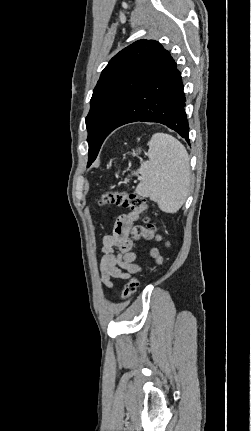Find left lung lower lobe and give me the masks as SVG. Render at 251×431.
<instances>
[{
    "label": "left lung lower lobe",
    "instance_id": "1",
    "mask_svg": "<svg viewBox=\"0 0 251 431\" xmlns=\"http://www.w3.org/2000/svg\"><path fill=\"white\" fill-rule=\"evenodd\" d=\"M183 88L176 63L170 53L163 49L115 129L137 121L158 122L176 131L189 143ZM112 131L106 134L109 135Z\"/></svg>",
    "mask_w": 251,
    "mask_h": 431
}]
</instances>
